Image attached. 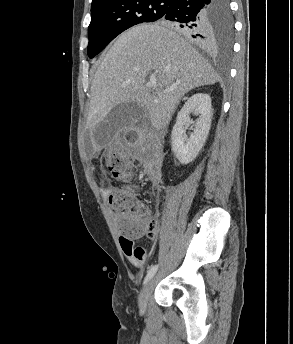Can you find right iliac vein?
Listing matches in <instances>:
<instances>
[{
    "label": "right iliac vein",
    "instance_id": "obj_1",
    "mask_svg": "<svg viewBox=\"0 0 293 344\" xmlns=\"http://www.w3.org/2000/svg\"><path fill=\"white\" fill-rule=\"evenodd\" d=\"M153 284H154V279L151 278L146 283V285L143 287V289L139 295L138 303H139L140 312L142 314H144L146 311L147 303H148L149 297H150L152 289H153Z\"/></svg>",
    "mask_w": 293,
    "mask_h": 344
}]
</instances>
